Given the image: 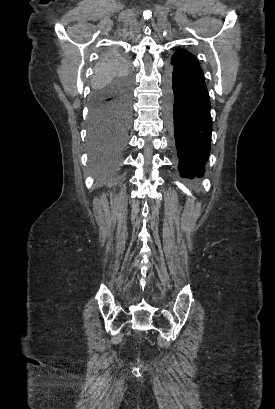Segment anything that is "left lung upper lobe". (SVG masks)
Here are the masks:
<instances>
[{
    "instance_id": "left-lung-upper-lobe-1",
    "label": "left lung upper lobe",
    "mask_w": 275,
    "mask_h": 409,
    "mask_svg": "<svg viewBox=\"0 0 275 409\" xmlns=\"http://www.w3.org/2000/svg\"><path fill=\"white\" fill-rule=\"evenodd\" d=\"M171 64L186 69L189 72L203 75V70L197 58L186 50H177L172 56Z\"/></svg>"
}]
</instances>
